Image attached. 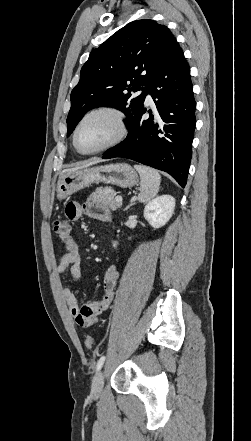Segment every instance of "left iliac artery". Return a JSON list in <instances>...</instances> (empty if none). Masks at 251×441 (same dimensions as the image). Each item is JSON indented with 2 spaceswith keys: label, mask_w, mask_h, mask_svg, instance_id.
I'll return each instance as SVG.
<instances>
[{
  "label": "left iliac artery",
  "mask_w": 251,
  "mask_h": 441,
  "mask_svg": "<svg viewBox=\"0 0 251 441\" xmlns=\"http://www.w3.org/2000/svg\"><path fill=\"white\" fill-rule=\"evenodd\" d=\"M104 361H105V356H101L100 359L97 362L96 371H99L101 369V367L104 364Z\"/></svg>",
  "instance_id": "1"
}]
</instances>
